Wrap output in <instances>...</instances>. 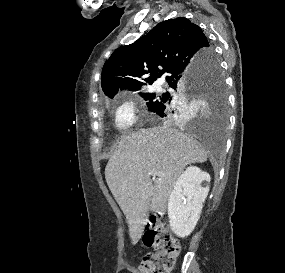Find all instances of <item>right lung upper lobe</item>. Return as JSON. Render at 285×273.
<instances>
[{"label":"right lung upper lobe","mask_w":285,"mask_h":273,"mask_svg":"<svg viewBox=\"0 0 285 273\" xmlns=\"http://www.w3.org/2000/svg\"><path fill=\"white\" fill-rule=\"evenodd\" d=\"M212 51L203 31L190 20L182 17L163 21L110 56L102 72L103 92L113 98L119 88L139 89L144 83L136 78L148 73L150 76L144 80L149 84L164 73L169 83Z\"/></svg>","instance_id":"1"}]
</instances>
